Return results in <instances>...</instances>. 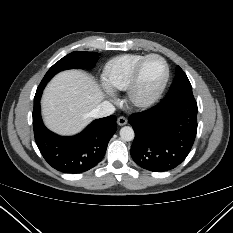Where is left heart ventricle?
Wrapping results in <instances>:
<instances>
[{"label":"left heart ventricle","instance_id":"obj_1","mask_svg":"<svg viewBox=\"0 0 233 233\" xmlns=\"http://www.w3.org/2000/svg\"><path fill=\"white\" fill-rule=\"evenodd\" d=\"M165 75V66L158 58L149 59L143 67L140 77V89L143 94H149L155 90Z\"/></svg>","mask_w":233,"mask_h":233}]
</instances>
